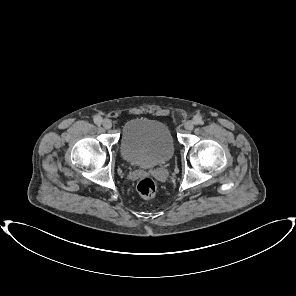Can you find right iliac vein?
I'll return each mask as SVG.
<instances>
[{"instance_id": "1", "label": "right iliac vein", "mask_w": 296, "mask_h": 296, "mask_svg": "<svg viewBox=\"0 0 296 296\" xmlns=\"http://www.w3.org/2000/svg\"><path fill=\"white\" fill-rule=\"evenodd\" d=\"M102 125L105 129H110L112 127V123L109 119H104Z\"/></svg>"}]
</instances>
